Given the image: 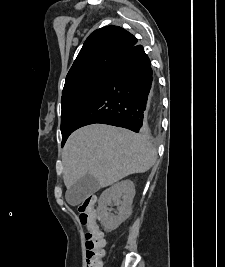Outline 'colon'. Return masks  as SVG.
Segmentation results:
<instances>
[{"instance_id":"obj_1","label":"colon","mask_w":225,"mask_h":267,"mask_svg":"<svg viewBox=\"0 0 225 267\" xmlns=\"http://www.w3.org/2000/svg\"><path fill=\"white\" fill-rule=\"evenodd\" d=\"M94 203V197L90 196L79 205L80 220L86 226L85 267H103L105 256V240L95 221Z\"/></svg>"}]
</instances>
